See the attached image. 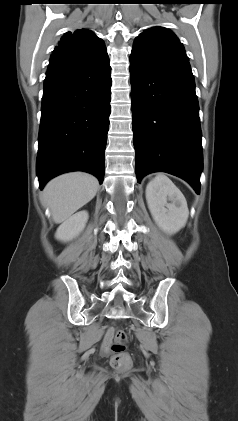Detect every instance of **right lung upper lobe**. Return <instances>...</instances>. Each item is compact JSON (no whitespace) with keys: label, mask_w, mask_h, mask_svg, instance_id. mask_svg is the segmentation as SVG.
Returning a JSON list of instances; mask_svg holds the SVG:
<instances>
[{"label":"right lung upper lobe","mask_w":238,"mask_h":421,"mask_svg":"<svg viewBox=\"0 0 238 421\" xmlns=\"http://www.w3.org/2000/svg\"><path fill=\"white\" fill-rule=\"evenodd\" d=\"M105 58H108V55L103 40L89 30L79 29L64 34L52 52L50 64Z\"/></svg>","instance_id":"cb5924a9"}]
</instances>
